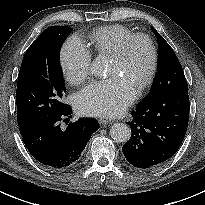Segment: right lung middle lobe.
Here are the masks:
<instances>
[{"mask_svg":"<svg viewBox=\"0 0 205 205\" xmlns=\"http://www.w3.org/2000/svg\"><path fill=\"white\" fill-rule=\"evenodd\" d=\"M72 28H47L26 51L18 75L16 104L19 128H29L46 116L63 111L65 85L59 52Z\"/></svg>","mask_w":205,"mask_h":205,"instance_id":"1","label":"right lung middle lobe"}]
</instances>
